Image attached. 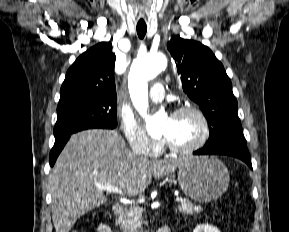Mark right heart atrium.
<instances>
[{
    "mask_svg": "<svg viewBox=\"0 0 289 232\" xmlns=\"http://www.w3.org/2000/svg\"><path fill=\"white\" fill-rule=\"evenodd\" d=\"M122 130L134 152L146 156H155L160 152L162 141L150 137L134 118L124 116L122 118Z\"/></svg>",
    "mask_w": 289,
    "mask_h": 232,
    "instance_id": "d8ad5b80",
    "label": "right heart atrium"
}]
</instances>
